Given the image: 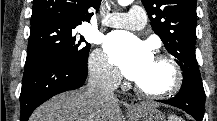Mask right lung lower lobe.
Returning a JSON list of instances; mask_svg holds the SVG:
<instances>
[{"label": "right lung lower lobe", "instance_id": "98d812e1", "mask_svg": "<svg viewBox=\"0 0 217 121\" xmlns=\"http://www.w3.org/2000/svg\"><path fill=\"white\" fill-rule=\"evenodd\" d=\"M87 64L39 60L25 64L20 94L21 121L52 96L81 87L87 78Z\"/></svg>", "mask_w": 217, "mask_h": 121}]
</instances>
